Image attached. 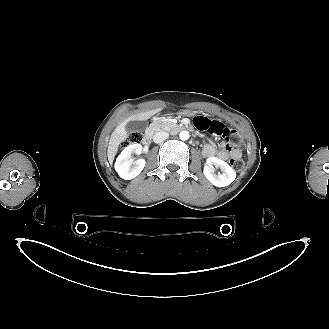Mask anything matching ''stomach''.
Masks as SVG:
<instances>
[{
	"label": "stomach",
	"instance_id": "0dacf381",
	"mask_svg": "<svg viewBox=\"0 0 329 329\" xmlns=\"http://www.w3.org/2000/svg\"><path fill=\"white\" fill-rule=\"evenodd\" d=\"M187 113H188V114H191V112H189V111H188Z\"/></svg>",
	"mask_w": 329,
	"mask_h": 329
}]
</instances>
